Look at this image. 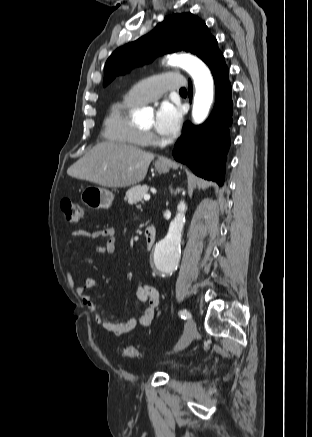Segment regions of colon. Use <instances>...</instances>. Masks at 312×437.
<instances>
[{
	"mask_svg": "<svg viewBox=\"0 0 312 437\" xmlns=\"http://www.w3.org/2000/svg\"><path fill=\"white\" fill-rule=\"evenodd\" d=\"M61 208L65 215L66 220L70 224H77L83 217L84 211L81 205L70 200L64 199L61 202ZM123 354L126 357H138L141 355V350L134 345H125L123 348Z\"/></svg>",
	"mask_w": 312,
	"mask_h": 437,
	"instance_id": "1",
	"label": "colon"
}]
</instances>
